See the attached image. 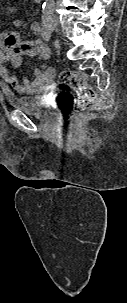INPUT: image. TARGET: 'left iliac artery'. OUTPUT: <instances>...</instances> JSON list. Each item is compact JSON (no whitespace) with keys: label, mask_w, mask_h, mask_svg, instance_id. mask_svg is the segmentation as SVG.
<instances>
[{"label":"left iliac artery","mask_w":127,"mask_h":303,"mask_svg":"<svg viewBox=\"0 0 127 303\" xmlns=\"http://www.w3.org/2000/svg\"><path fill=\"white\" fill-rule=\"evenodd\" d=\"M42 7L43 15L50 14L54 10V3L45 2Z\"/></svg>","instance_id":"44dca946"}]
</instances>
